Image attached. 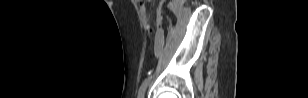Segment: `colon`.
I'll return each mask as SVG.
<instances>
[{
	"label": "colon",
	"instance_id": "colon-1",
	"mask_svg": "<svg viewBox=\"0 0 308 98\" xmlns=\"http://www.w3.org/2000/svg\"><path fill=\"white\" fill-rule=\"evenodd\" d=\"M139 12L145 28L147 29L148 32H152V28L150 26V17L147 13L145 4L142 1L139 2Z\"/></svg>",
	"mask_w": 308,
	"mask_h": 98
}]
</instances>
